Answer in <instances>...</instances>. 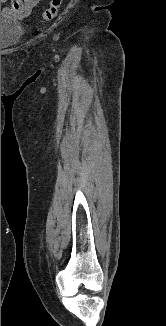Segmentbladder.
<instances>
[{
  "mask_svg": "<svg viewBox=\"0 0 166 326\" xmlns=\"http://www.w3.org/2000/svg\"><path fill=\"white\" fill-rule=\"evenodd\" d=\"M21 24L14 17L1 12V50L17 44L21 35Z\"/></svg>",
  "mask_w": 166,
  "mask_h": 326,
  "instance_id": "31cf9c89",
  "label": "bladder"
}]
</instances>
